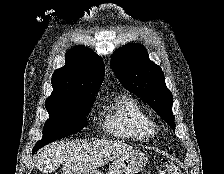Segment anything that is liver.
<instances>
[{
  "label": "liver",
  "instance_id": "1",
  "mask_svg": "<svg viewBox=\"0 0 224 174\" xmlns=\"http://www.w3.org/2000/svg\"><path fill=\"white\" fill-rule=\"evenodd\" d=\"M131 150L130 145L118 141H61L41 150L35 163L46 174L54 172L60 164L63 174H87Z\"/></svg>",
  "mask_w": 224,
  "mask_h": 174
}]
</instances>
